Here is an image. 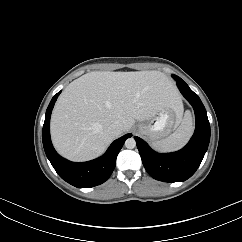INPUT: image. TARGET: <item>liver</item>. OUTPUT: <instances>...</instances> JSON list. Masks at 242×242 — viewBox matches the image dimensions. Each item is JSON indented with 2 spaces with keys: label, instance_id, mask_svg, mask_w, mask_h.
I'll return each mask as SVG.
<instances>
[{
  "label": "liver",
  "instance_id": "liver-1",
  "mask_svg": "<svg viewBox=\"0 0 242 242\" xmlns=\"http://www.w3.org/2000/svg\"><path fill=\"white\" fill-rule=\"evenodd\" d=\"M182 113L180 95L159 71H93L71 82L59 96L51 116V137L56 150L74 161L102 154L135 121H148L160 111ZM118 123L114 136L108 127Z\"/></svg>",
  "mask_w": 242,
  "mask_h": 242
}]
</instances>
